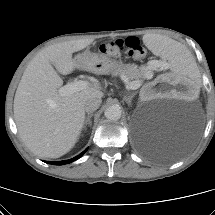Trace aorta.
I'll return each instance as SVG.
<instances>
[{
	"mask_svg": "<svg viewBox=\"0 0 215 215\" xmlns=\"http://www.w3.org/2000/svg\"><path fill=\"white\" fill-rule=\"evenodd\" d=\"M104 115L109 120H118L121 118L122 110L118 105H112L106 108Z\"/></svg>",
	"mask_w": 215,
	"mask_h": 215,
	"instance_id": "1",
	"label": "aorta"
}]
</instances>
